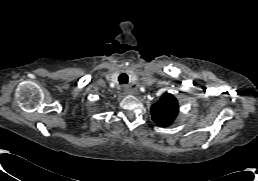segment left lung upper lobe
Listing matches in <instances>:
<instances>
[{"label":"left lung upper lobe","instance_id":"1","mask_svg":"<svg viewBox=\"0 0 258 181\" xmlns=\"http://www.w3.org/2000/svg\"><path fill=\"white\" fill-rule=\"evenodd\" d=\"M179 106L176 98L166 93L151 107L152 119L159 126H169L176 118Z\"/></svg>","mask_w":258,"mask_h":181}]
</instances>
